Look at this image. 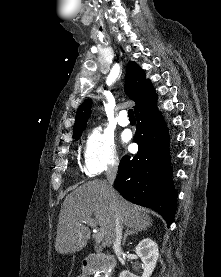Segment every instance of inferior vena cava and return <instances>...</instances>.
Masks as SVG:
<instances>
[{"label":"inferior vena cava","instance_id":"1","mask_svg":"<svg viewBox=\"0 0 221 277\" xmlns=\"http://www.w3.org/2000/svg\"><path fill=\"white\" fill-rule=\"evenodd\" d=\"M117 169H118V164L114 163V164H111L110 166H108V169L106 171L109 193H111L113 190L112 185H113V182L117 175ZM112 211L114 213V215H113V231H114L113 248L120 249L121 239H122L121 220H120L118 211L116 210L115 206H113V205H112Z\"/></svg>","mask_w":221,"mask_h":277}]
</instances>
